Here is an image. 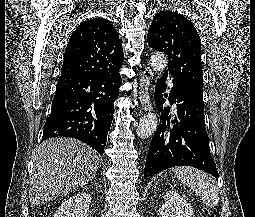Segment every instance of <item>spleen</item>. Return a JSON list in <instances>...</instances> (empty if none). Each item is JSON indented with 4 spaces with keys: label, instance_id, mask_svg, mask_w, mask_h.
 Wrapping results in <instances>:
<instances>
[{
    "label": "spleen",
    "instance_id": "obj_1",
    "mask_svg": "<svg viewBox=\"0 0 255 217\" xmlns=\"http://www.w3.org/2000/svg\"><path fill=\"white\" fill-rule=\"evenodd\" d=\"M173 171L178 180L191 188L206 206L214 207L218 204V186L208 174L188 166L177 167Z\"/></svg>",
    "mask_w": 255,
    "mask_h": 217
}]
</instances>
